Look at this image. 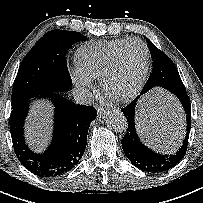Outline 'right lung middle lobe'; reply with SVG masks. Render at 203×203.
<instances>
[{
  "mask_svg": "<svg viewBox=\"0 0 203 203\" xmlns=\"http://www.w3.org/2000/svg\"><path fill=\"white\" fill-rule=\"evenodd\" d=\"M86 37L79 32L52 30L25 56L12 92V108L29 99L51 92H65L72 84L66 53Z\"/></svg>",
  "mask_w": 203,
  "mask_h": 203,
  "instance_id": "right-lung-middle-lobe-1",
  "label": "right lung middle lobe"
}]
</instances>
